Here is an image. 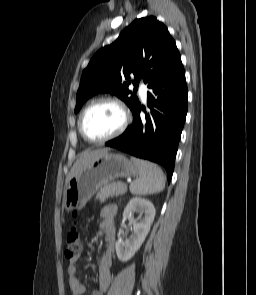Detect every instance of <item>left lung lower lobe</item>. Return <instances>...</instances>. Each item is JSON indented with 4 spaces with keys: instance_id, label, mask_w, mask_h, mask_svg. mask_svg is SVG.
I'll return each instance as SVG.
<instances>
[{
    "instance_id": "obj_1",
    "label": "left lung lower lobe",
    "mask_w": 256,
    "mask_h": 295,
    "mask_svg": "<svg viewBox=\"0 0 256 295\" xmlns=\"http://www.w3.org/2000/svg\"><path fill=\"white\" fill-rule=\"evenodd\" d=\"M149 88L147 104L150 112L143 109L146 118L141 120L139 105L132 112L133 124L105 145L161 164L170 183L187 114L188 90L181 59Z\"/></svg>"
}]
</instances>
